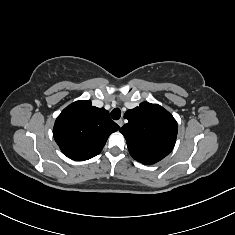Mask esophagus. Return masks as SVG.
Returning a JSON list of instances; mask_svg holds the SVG:
<instances>
[{
  "label": "esophagus",
  "mask_w": 235,
  "mask_h": 235,
  "mask_svg": "<svg viewBox=\"0 0 235 235\" xmlns=\"http://www.w3.org/2000/svg\"><path fill=\"white\" fill-rule=\"evenodd\" d=\"M117 124H118L120 127H122V126H123V120H122V119H119V120L117 121Z\"/></svg>",
  "instance_id": "obj_1"
}]
</instances>
